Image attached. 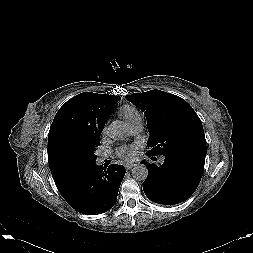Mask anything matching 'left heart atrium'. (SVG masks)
<instances>
[{"instance_id": "1", "label": "left heart atrium", "mask_w": 253, "mask_h": 253, "mask_svg": "<svg viewBox=\"0 0 253 253\" xmlns=\"http://www.w3.org/2000/svg\"><path fill=\"white\" fill-rule=\"evenodd\" d=\"M119 155L129 159L132 157L134 151L132 147H122L118 151Z\"/></svg>"}]
</instances>
